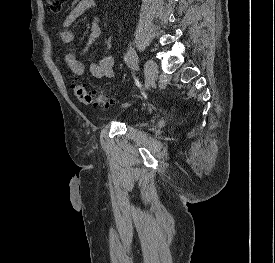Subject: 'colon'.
I'll list each match as a JSON object with an SVG mask.
<instances>
[{"label":"colon","instance_id":"1","mask_svg":"<svg viewBox=\"0 0 275 263\" xmlns=\"http://www.w3.org/2000/svg\"><path fill=\"white\" fill-rule=\"evenodd\" d=\"M65 0H46L47 8L52 12H59L62 9ZM71 90L74 96L83 104L108 107L115 103V99L106 94H95L89 91L85 84L79 80H72Z\"/></svg>","mask_w":275,"mask_h":263}]
</instances>
